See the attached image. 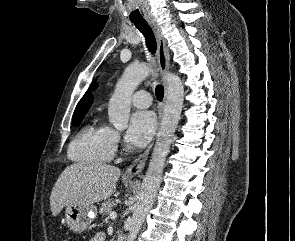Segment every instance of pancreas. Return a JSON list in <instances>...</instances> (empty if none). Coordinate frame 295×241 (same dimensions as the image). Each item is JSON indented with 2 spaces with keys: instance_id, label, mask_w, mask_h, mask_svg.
Masks as SVG:
<instances>
[{
  "instance_id": "cf45deb5",
  "label": "pancreas",
  "mask_w": 295,
  "mask_h": 241,
  "mask_svg": "<svg viewBox=\"0 0 295 241\" xmlns=\"http://www.w3.org/2000/svg\"><path fill=\"white\" fill-rule=\"evenodd\" d=\"M115 206V202L113 200H106L104 203H102V206L100 207V214H109L112 211V208Z\"/></svg>"
}]
</instances>
